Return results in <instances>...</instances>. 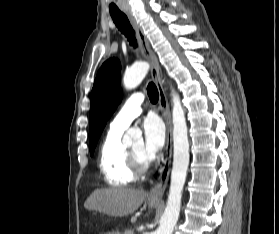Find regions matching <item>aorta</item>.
Instances as JSON below:
<instances>
[{
    "label": "aorta",
    "instance_id": "aorta-1",
    "mask_svg": "<svg viewBox=\"0 0 279 234\" xmlns=\"http://www.w3.org/2000/svg\"><path fill=\"white\" fill-rule=\"evenodd\" d=\"M149 70L147 62H139L126 70L123 84L126 89L137 87ZM172 122H173V166L169 196L165 211L162 215L159 228L155 234H172L176 225L181 206L182 190L185 184L189 165V141L185 113L179 95L172 91ZM138 129H129L123 137V143L130 145L134 137H139Z\"/></svg>",
    "mask_w": 279,
    "mask_h": 234
}]
</instances>
